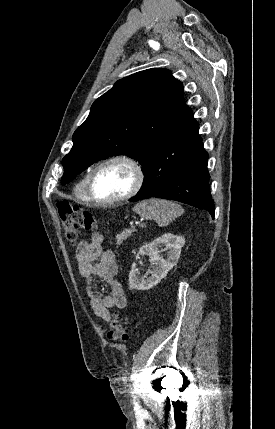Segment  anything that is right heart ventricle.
<instances>
[{
  "label": "right heart ventricle",
  "mask_w": 275,
  "mask_h": 429,
  "mask_svg": "<svg viewBox=\"0 0 275 429\" xmlns=\"http://www.w3.org/2000/svg\"><path fill=\"white\" fill-rule=\"evenodd\" d=\"M90 171H87L82 177L81 179L76 183L75 187H74V194L75 196L81 200V201H89L87 194H86V182H87V177Z\"/></svg>",
  "instance_id": "right-heart-ventricle-1"
}]
</instances>
